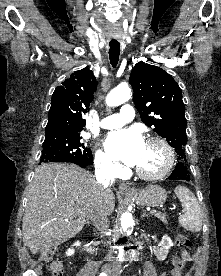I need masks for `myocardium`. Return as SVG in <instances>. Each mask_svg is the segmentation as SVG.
I'll return each instance as SVG.
<instances>
[{
  "label": "myocardium",
  "instance_id": "myocardium-1",
  "mask_svg": "<svg viewBox=\"0 0 221 276\" xmlns=\"http://www.w3.org/2000/svg\"><path fill=\"white\" fill-rule=\"evenodd\" d=\"M146 144H158L165 154L163 167L156 172H145L136 168V174L144 180H158L165 177L173 168L175 163V153L169 142L160 136H151L147 139Z\"/></svg>",
  "mask_w": 221,
  "mask_h": 276
}]
</instances>
